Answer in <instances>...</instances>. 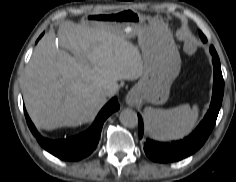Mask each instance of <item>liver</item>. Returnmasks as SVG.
Instances as JSON below:
<instances>
[{"instance_id":"6515ba94","label":"liver","mask_w":236,"mask_h":182,"mask_svg":"<svg viewBox=\"0 0 236 182\" xmlns=\"http://www.w3.org/2000/svg\"><path fill=\"white\" fill-rule=\"evenodd\" d=\"M58 41L75 57L55 51V34L48 33L25 69L24 101L39 128L53 130L93 121L107 102L101 94L104 88L116 93L117 81L136 80L143 74L138 47L109 22H94L93 26L64 22Z\"/></svg>"}]
</instances>
